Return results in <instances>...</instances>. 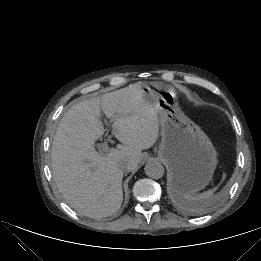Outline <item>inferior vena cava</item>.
I'll list each match as a JSON object with an SVG mask.
<instances>
[{
    "label": "inferior vena cava",
    "instance_id": "1",
    "mask_svg": "<svg viewBox=\"0 0 261 261\" xmlns=\"http://www.w3.org/2000/svg\"><path fill=\"white\" fill-rule=\"evenodd\" d=\"M121 167L124 171H130L131 170V165L128 164V163H123Z\"/></svg>",
    "mask_w": 261,
    "mask_h": 261
}]
</instances>
